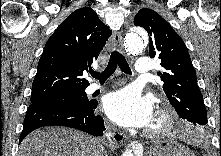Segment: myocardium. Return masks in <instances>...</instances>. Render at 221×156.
I'll return each instance as SVG.
<instances>
[{
    "instance_id": "myocardium-1",
    "label": "myocardium",
    "mask_w": 221,
    "mask_h": 156,
    "mask_svg": "<svg viewBox=\"0 0 221 156\" xmlns=\"http://www.w3.org/2000/svg\"><path fill=\"white\" fill-rule=\"evenodd\" d=\"M174 126V117L167 109H160L156 118L147 130V137L159 139L167 136Z\"/></svg>"
}]
</instances>
